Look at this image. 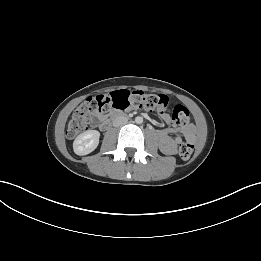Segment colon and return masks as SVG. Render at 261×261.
Returning a JSON list of instances; mask_svg holds the SVG:
<instances>
[{"instance_id":"5ec220e1","label":"colon","mask_w":261,"mask_h":261,"mask_svg":"<svg viewBox=\"0 0 261 261\" xmlns=\"http://www.w3.org/2000/svg\"><path fill=\"white\" fill-rule=\"evenodd\" d=\"M168 106V98L161 94L145 93L143 91L118 90L111 93L96 94L87 97L72 113L66 129L68 138H74L85 131L93 116L105 113L111 108L124 110L127 108H143L164 112ZM172 120L178 125H187L190 122L189 110L181 104L174 106ZM194 151L191 141L180 145L179 155L189 159Z\"/></svg>"}]
</instances>
